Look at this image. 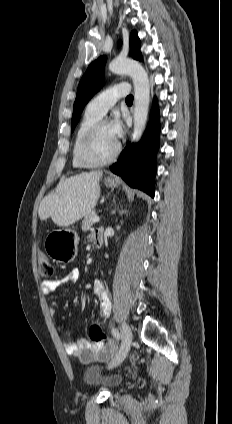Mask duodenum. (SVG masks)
I'll return each instance as SVG.
<instances>
[{
	"mask_svg": "<svg viewBox=\"0 0 232 424\" xmlns=\"http://www.w3.org/2000/svg\"><path fill=\"white\" fill-rule=\"evenodd\" d=\"M100 232H101V234L98 235L96 237L95 241H94L96 247H101L102 244H103L104 235H103V232L102 231H100Z\"/></svg>",
	"mask_w": 232,
	"mask_h": 424,
	"instance_id": "obj_1",
	"label": "duodenum"
}]
</instances>
